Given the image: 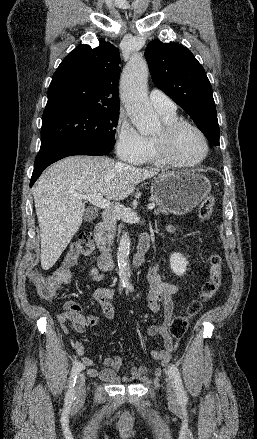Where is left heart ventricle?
Segmentation results:
<instances>
[{"instance_id": "b2bd125f", "label": "left heart ventricle", "mask_w": 257, "mask_h": 439, "mask_svg": "<svg viewBox=\"0 0 257 439\" xmlns=\"http://www.w3.org/2000/svg\"><path fill=\"white\" fill-rule=\"evenodd\" d=\"M161 129L157 132L160 133ZM172 152L182 162H194L204 153V144L200 136L190 128L182 129L174 138Z\"/></svg>"}]
</instances>
